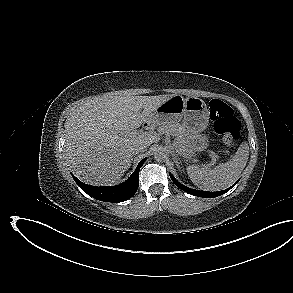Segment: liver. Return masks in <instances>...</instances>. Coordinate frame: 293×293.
Instances as JSON below:
<instances>
[{"mask_svg":"<svg viewBox=\"0 0 293 293\" xmlns=\"http://www.w3.org/2000/svg\"><path fill=\"white\" fill-rule=\"evenodd\" d=\"M173 96L108 93L74 109L64 124V154L76 177L96 186L119 183L131 165L134 147L147 148L159 140L136 129L143 123L155 127L152 112Z\"/></svg>","mask_w":293,"mask_h":293,"instance_id":"liver-1","label":"liver"}]
</instances>
